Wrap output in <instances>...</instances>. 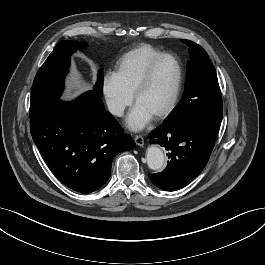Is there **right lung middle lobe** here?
<instances>
[{
	"instance_id": "obj_1",
	"label": "right lung middle lobe",
	"mask_w": 265,
	"mask_h": 265,
	"mask_svg": "<svg viewBox=\"0 0 265 265\" xmlns=\"http://www.w3.org/2000/svg\"><path fill=\"white\" fill-rule=\"evenodd\" d=\"M85 43L61 41L54 48L36 74L31 90L30 122L37 120L59 102L63 90V78L68 71L70 54L85 47ZM103 75H98L95 92L102 94Z\"/></svg>"
}]
</instances>
